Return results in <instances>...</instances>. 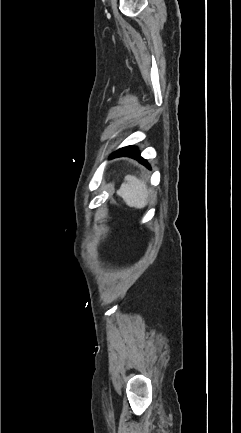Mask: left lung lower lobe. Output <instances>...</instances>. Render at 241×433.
<instances>
[{
  "instance_id": "obj_1",
  "label": "left lung lower lobe",
  "mask_w": 241,
  "mask_h": 433,
  "mask_svg": "<svg viewBox=\"0 0 241 433\" xmlns=\"http://www.w3.org/2000/svg\"><path fill=\"white\" fill-rule=\"evenodd\" d=\"M116 156H129L131 158L139 160L140 163L150 168L147 161L140 156V151L134 146L124 147L115 151L112 154V157H116Z\"/></svg>"
}]
</instances>
